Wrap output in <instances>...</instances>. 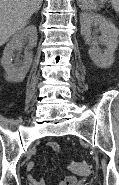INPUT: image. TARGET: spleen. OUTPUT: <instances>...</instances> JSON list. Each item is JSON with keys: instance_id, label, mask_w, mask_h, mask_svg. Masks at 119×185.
<instances>
[{"instance_id": "1", "label": "spleen", "mask_w": 119, "mask_h": 185, "mask_svg": "<svg viewBox=\"0 0 119 185\" xmlns=\"http://www.w3.org/2000/svg\"><path fill=\"white\" fill-rule=\"evenodd\" d=\"M78 2L80 3L79 6L86 11H92L98 8V4L95 0H78ZM111 2L114 10L119 13V0H111Z\"/></svg>"}]
</instances>
